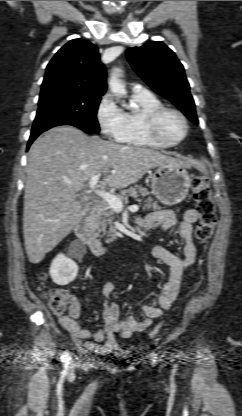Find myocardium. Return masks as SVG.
<instances>
[{
  "label": "myocardium",
  "instance_id": "myocardium-1",
  "mask_svg": "<svg viewBox=\"0 0 242 416\" xmlns=\"http://www.w3.org/2000/svg\"><path fill=\"white\" fill-rule=\"evenodd\" d=\"M166 113H173L176 116L179 117V119L181 120L183 127H184V131L183 134L180 138L178 139H169L167 137H165L160 129H159V123L161 118L166 114ZM146 129L148 134L155 139L156 141L166 144V145H176L181 143L187 136L188 134V130H189V126H188V121L187 118L185 117V115L178 109L173 108V107H168V106H160L158 108L153 109L152 111H150L147 114L146 117Z\"/></svg>",
  "mask_w": 242,
  "mask_h": 416
}]
</instances>
